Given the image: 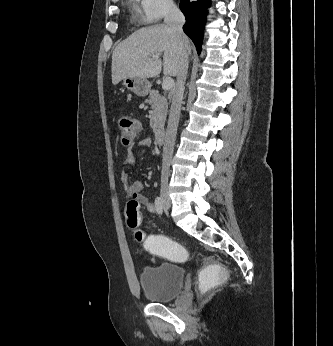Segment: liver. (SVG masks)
Returning <instances> with one entry per match:
<instances>
[{
  "mask_svg": "<svg viewBox=\"0 0 333 346\" xmlns=\"http://www.w3.org/2000/svg\"><path fill=\"white\" fill-rule=\"evenodd\" d=\"M186 37V36H185ZM188 55L192 46L185 38ZM163 53V62L159 55ZM158 55L157 58H153ZM181 56L179 38L167 25L142 28L119 43L112 54V83L117 85L126 77L152 78L162 71L166 76H177Z\"/></svg>",
  "mask_w": 333,
  "mask_h": 346,
  "instance_id": "obj_1",
  "label": "liver"
}]
</instances>
